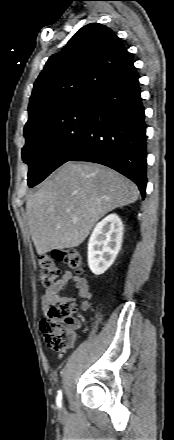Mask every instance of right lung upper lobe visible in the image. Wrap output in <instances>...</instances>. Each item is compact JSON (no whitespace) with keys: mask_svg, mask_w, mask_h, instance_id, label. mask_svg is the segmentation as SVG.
I'll list each match as a JSON object with an SVG mask.
<instances>
[{"mask_svg":"<svg viewBox=\"0 0 174 440\" xmlns=\"http://www.w3.org/2000/svg\"><path fill=\"white\" fill-rule=\"evenodd\" d=\"M132 65L130 54L110 28L98 23L84 26L48 59L34 84L24 129L91 95Z\"/></svg>","mask_w":174,"mask_h":440,"instance_id":"1","label":"right lung upper lobe"}]
</instances>
